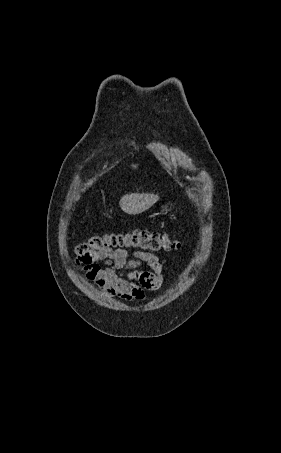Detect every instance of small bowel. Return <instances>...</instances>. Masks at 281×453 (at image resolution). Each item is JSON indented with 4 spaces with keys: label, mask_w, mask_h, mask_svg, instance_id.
I'll list each match as a JSON object with an SVG mask.
<instances>
[{
    "label": "small bowel",
    "mask_w": 281,
    "mask_h": 453,
    "mask_svg": "<svg viewBox=\"0 0 281 453\" xmlns=\"http://www.w3.org/2000/svg\"><path fill=\"white\" fill-rule=\"evenodd\" d=\"M100 256L104 264L77 261L76 268L108 298L142 301L146 292L159 290L169 280L165 264L155 254L116 248L101 251Z\"/></svg>",
    "instance_id": "c3829d8e"
}]
</instances>
